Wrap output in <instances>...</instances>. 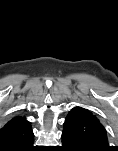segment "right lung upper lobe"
Returning <instances> with one entry per match:
<instances>
[{
	"label": "right lung upper lobe",
	"mask_w": 118,
	"mask_h": 151,
	"mask_svg": "<svg viewBox=\"0 0 118 151\" xmlns=\"http://www.w3.org/2000/svg\"><path fill=\"white\" fill-rule=\"evenodd\" d=\"M33 138L30 122L16 116L0 129V151H19L32 143Z\"/></svg>",
	"instance_id": "1"
}]
</instances>
